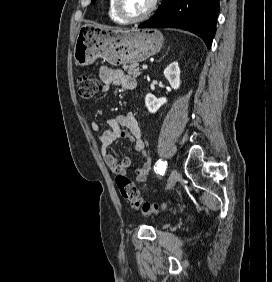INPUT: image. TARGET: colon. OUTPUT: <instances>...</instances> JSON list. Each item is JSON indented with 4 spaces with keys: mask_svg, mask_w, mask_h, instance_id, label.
I'll use <instances>...</instances> for the list:
<instances>
[{
    "mask_svg": "<svg viewBox=\"0 0 272 282\" xmlns=\"http://www.w3.org/2000/svg\"><path fill=\"white\" fill-rule=\"evenodd\" d=\"M102 84L95 77L80 75L77 79L78 95L84 101H90L102 89ZM116 184L122 198L132 207L140 209L144 214L157 213L166 209V204H153L142 200L136 185L125 175L119 173Z\"/></svg>",
    "mask_w": 272,
    "mask_h": 282,
    "instance_id": "obj_1",
    "label": "colon"
}]
</instances>
